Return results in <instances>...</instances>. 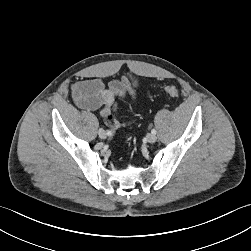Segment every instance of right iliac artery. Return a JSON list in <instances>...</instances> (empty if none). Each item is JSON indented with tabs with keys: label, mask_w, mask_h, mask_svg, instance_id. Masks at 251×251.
Segmentation results:
<instances>
[{
	"label": "right iliac artery",
	"mask_w": 251,
	"mask_h": 251,
	"mask_svg": "<svg viewBox=\"0 0 251 251\" xmlns=\"http://www.w3.org/2000/svg\"><path fill=\"white\" fill-rule=\"evenodd\" d=\"M106 133H107V135H111L112 134V132L110 130H107Z\"/></svg>",
	"instance_id": "82829eb1"
}]
</instances>
